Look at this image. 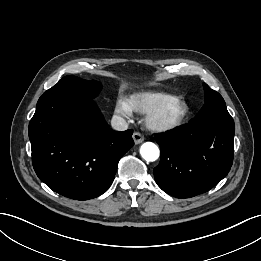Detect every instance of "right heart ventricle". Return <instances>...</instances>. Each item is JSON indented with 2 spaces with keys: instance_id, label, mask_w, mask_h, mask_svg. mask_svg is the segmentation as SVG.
Here are the masks:
<instances>
[{
  "instance_id": "1",
  "label": "right heart ventricle",
  "mask_w": 261,
  "mask_h": 261,
  "mask_svg": "<svg viewBox=\"0 0 261 261\" xmlns=\"http://www.w3.org/2000/svg\"><path fill=\"white\" fill-rule=\"evenodd\" d=\"M172 96L163 92H141L134 94L129 99L131 108L141 114H149L158 109Z\"/></svg>"
}]
</instances>
